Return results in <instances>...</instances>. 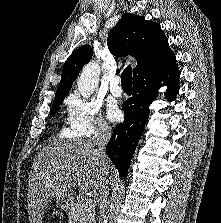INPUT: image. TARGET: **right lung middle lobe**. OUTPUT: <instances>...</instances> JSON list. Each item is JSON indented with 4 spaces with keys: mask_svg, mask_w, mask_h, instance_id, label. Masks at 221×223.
Returning a JSON list of instances; mask_svg holds the SVG:
<instances>
[{
    "mask_svg": "<svg viewBox=\"0 0 221 223\" xmlns=\"http://www.w3.org/2000/svg\"><path fill=\"white\" fill-rule=\"evenodd\" d=\"M63 100L64 99L62 98V99H56V100L53 101L52 109H51V112H50V118L55 115L59 106L62 104Z\"/></svg>",
    "mask_w": 221,
    "mask_h": 223,
    "instance_id": "right-lung-middle-lobe-1",
    "label": "right lung middle lobe"
}]
</instances>
